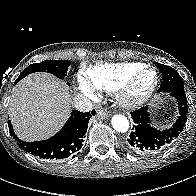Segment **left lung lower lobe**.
Instances as JSON below:
<instances>
[{
  "label": "left lung lower lobe",
  "instance_id": "left-lung-lower-lobe-1",
  "mask_svg": "<svg viewBox=\"0 0 196 196\" xmlns=\"http://www.w3.org/2000/svg\"><path fill=\"white\" fill-rule=\"evenodd\" d=\"M159 69L163 81L168 83L165 86L172 90L169 93L176 99L179 114L176 122L170 128L161 130L151 125L148 106L131 112L135 126L132 128L133 131L130 133L125 146L129 151L141 156H152L165 150L180 135L187 120L188 102L184 89L178 88L179 82H177L176 71L162 67ZM159 92H164L161 87Z\"/></svg>",
  "mask_w": 196,
  "mask_h": 196
}]
</instances>
